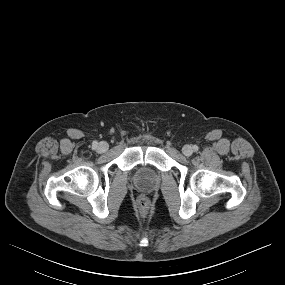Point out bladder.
<instances>
[{
	"label": "bladder",
	"mask_w": 285,
	"mask_h": 285,
	"mask_svg": "<svg viewBox=\"0 0 285 285\" xmlns=\"http://www.w3.org/2000/svg\"><path fill=\"white\" fill-rule=\"evenodd\" d=\"M135 182L144 188L152 187L156 182V174L150 168H141L135 174Z\"/></svg>",
	"instance_id": "31cf9c89"
}]
</instances>
